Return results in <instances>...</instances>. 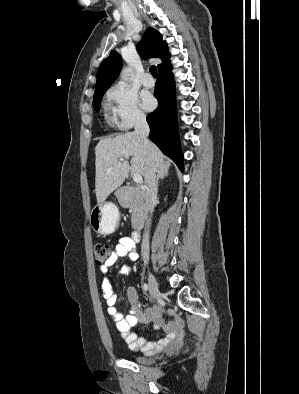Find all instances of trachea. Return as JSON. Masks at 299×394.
<instances>
[{
    "label": "trachea",
    "instance_id": "1",
    "mask_svg": "<svg viewBox=\"0 0 299 394\" xmlns=\"http://www.w3.org/2000/svg\"><path fill=\"white\" fill-rule=\"evenodd\" d=\"M150 73L152 74V76H153L154 78L157 77V68H156V66L150 67Z\"/></svg>",
    "mask_w": 299,
    "mask_h": 394
}]
</instances>
